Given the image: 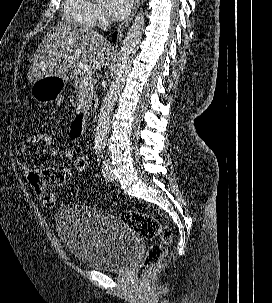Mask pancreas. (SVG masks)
<instances>
[{"label": "pancreas", "instance_id": "obj_1", "mask_svg": "<svg viewBox=\"0 0 272 303\" xmlns=\"http://www.w3.org/2000/svg\"><path fill=\"white\" fill-rule=\"evenodd\" d=\"M75 90L78 94V105L87 106L94 97V85L85 86L81 83V77H76L74 82Z\"/></svg>", "mask_w": 272, "mask_h": 303}]
</instances>
